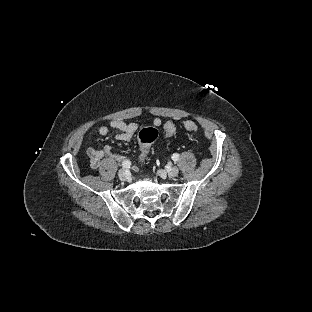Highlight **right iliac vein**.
Instances as JSON below:
<instances>
[{"label": "right iliac vein", "instance_id": "63e3f726", "mask_svg": "<svg viewBox=\"0 0 312 312\" xmlns=\"http://www.w3.org/2000/svg\"><path fill=\"white\" fill-rule=\"evenodd\" d=\"M118 177L121 181H128L130 179V176L127 172V170L125 169H121L119 172H118Z\"/></svg>", "mask_w": 312, "mask_h": 312}]
</instances>
